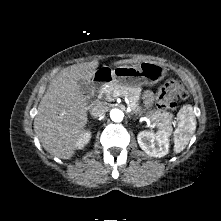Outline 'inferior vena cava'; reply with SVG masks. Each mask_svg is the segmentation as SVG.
Returning <instances> with one entry per match:
<instances>
[{
    "instance_id": "inferior-vena-cava-1",
    "label": "inferior vena cava",
    "mask_w": 221,
    "mask_h": 221,
    "mask_svg": "<svg viewBox=\"0 0 221 221\" xmlns=\"http://www.w3.org/2000/svg\"><path fill=\"white\" fill-rule=\"evenodd\" d=\"M106 111H108V107L104 103L98 102L91 108L90 114L97 118L101 117Z\"/></svg>"
}]
</instances>
